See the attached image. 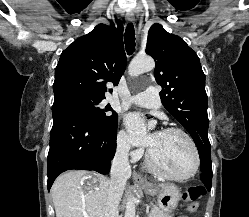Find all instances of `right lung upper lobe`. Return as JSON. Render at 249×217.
I'll return each mask as SVG.
<instances>
[{
    "label": "right lung upper lobe",
    "instance_id": "obj_1",
    "mask_svg": "<svg viewBox=\"0 0 249 217\" xmlns=\"http://www.w3.org/2000/svg\"><path fill=\"white\" fill-rule=\"evenodd\" d=\"M123 25L98 24L65 49L55 69L54 95L76 91L104 99L106 83L118 84L125 71Z\"/></svg>",
    "mask_w": 249,
    "mask_h": 217
}]
</instances>
